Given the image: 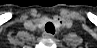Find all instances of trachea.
Listing matches in <instances>:
<instances>
[{
    "label": "trachea",
    "mask_w": 97,
    "mask_h": 48,
    "mask_svg": "<svg viewBox=\"0 0 97 48\" xmlns=\"http://www.w3.org/2000/svg\"><path fill=\"white\" fill-rule=\"evenodd\" d=\"M45 31L47 33L54 34L55 33V27H54V25L51 22L46 23V25H45Z\"/></svg>",
    "instance_id": "trachea-1"
}]
</instances>
